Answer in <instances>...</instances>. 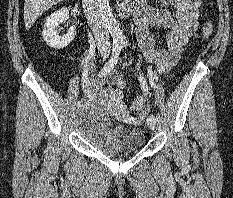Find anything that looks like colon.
<instances>
[{
	"label": "colon",
	"mask_w": 233,
	"mask_h": 198,
	"mask_svg": "<svg viewBox=\"0 0 233 198\" xmlns=\"http://www.w3.org/2000/svg\"><path fill=\"white\" fill-rule=\"evenodd\" d=\"M201 0H191V4L194 7H198L200 4ZM213 33V25L210 22H206L202 28V34L204 36V38L208 39L211 37ZM145 99L142 96H139L137 98H135L132 102H131V110L134 113H139L141 112L144 107H145Z\"/></svg>",
	"instance_id": "colon-1"
}]
</instances>
